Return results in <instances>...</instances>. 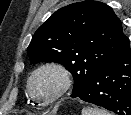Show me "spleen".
<instances>
[{"instance_id": "spleen-1", "label": "spleen", "mask_w": 131, "mask_h": 115, "mask_svg": "<svg viewBox=\"0 0 131 115\" xmlns=\"http://www.w3.org/2000/svg\"><path fill=\"white\" fill-rule=\"evenodd\" d=\"M82 115H111L105 110H101L98 108H83Z\"/></svg>"}]
</instances>
